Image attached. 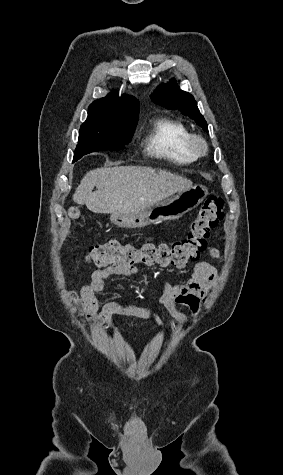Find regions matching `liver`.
Segmentation results:
<instances>
[{"label":"liver","mask_w":283,"mask_h":475,"mask_svg":"<svg viewBox=\"0 0 283 475\" xmlns=\"http://www.w3.org/2000/svg\"><path fill=\"white\" fill-rule=\"evenodd\" d=\"M96 186V192H92ZM192 188V182L166 170L146 166L97 168L82 178L73 200L94 214H128L154 206L173 194Z\"/></svg>","instance_id":"1"}]
</instances>
